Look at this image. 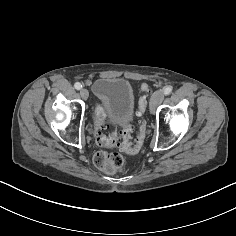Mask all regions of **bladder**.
<instances>
[{
  "instance_id": "bladder-1",
  "label": "bladder",
  "mask_w": 236,
  "mask_h": 236,
  "mask_svg": "<svg viewBox=\"0 0 236 236\" xmlns=\"http://www.w3.org/2000/svg\"><path fill=\"white\" fill-rule=\"evenodd\" d=\"M104 113L117 121L128 124L135 109V98L130 83L121 78L103 77L93 85Z\"/></svg>"
}]
</instances>
